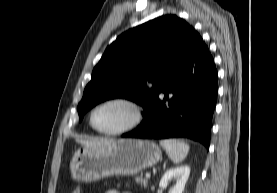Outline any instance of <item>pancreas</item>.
<instances>
[{"label": "pancreas", "mask_w": 277, "mask_h": 193, "mask_svg": "<svg viewBox=\"0 0 277 193\" xmlns=\"http://www.w3.org/2000/svg\"><path fill=\"white\" fill-rule=\"evenodd\" d=\"M135 181L137 184H140L141 186H144V187H147L148 185V179L144 178L142 174L140 176H136Z\"/></svg>", "instance_id": "1"}]
</instances>
